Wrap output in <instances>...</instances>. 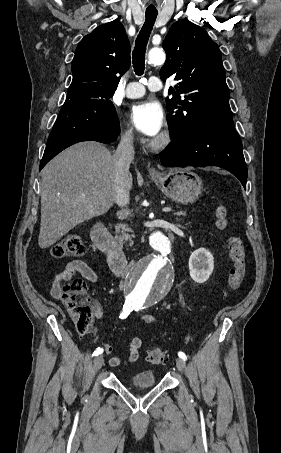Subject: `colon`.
I'll use <instances>...</instances> for the list:
<instances>
[{"instance_id": "obj_1", "label": "colon", "mask_w": 281, "mask_h": 453, "mask_svg": "<svg viewBox=\"0 0 281 453\" xmlns=\"http://www.w3.org/2000/svg\"><path fill=\"white\" fill-rule=\"evenodd\" d=\"M216 215L214 227L221 232L228 229L229 215L227 198L223 192H219L216 200ZM230 251L232 268L231 279L226 288L223 299L232 298L242 287L244 275L247 268V255L243 241L238 235L231 234L226 239ZM51 255L58 260L71 257L87 256L85 244L77 238H65L54 242L50 247ZM87 290V283L84 279L78 278L68 287L64 293V301L68 310L77 318V329L88 331L92 324V313L90 309L80 302V298ZM146 358L151 363H164L165 355L160 349H148Z\"/></svg>"}]
</instances>
